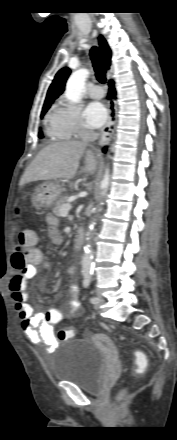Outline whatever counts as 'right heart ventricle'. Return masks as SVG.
<instances>
[{
  "label": "right heart ventricle",
  "instance_id": "right-heart-ventricle-1",
  "mask_svg": "<svg viewBox=\"0 0 177 440\" xmlns=\"http://www.w3.org/2000/svg\"><path fill=\"white\" fill-rule=\"evenodd\" d=\"M46 133L53 140H61L66 138L58 127L54 111L48 114L46 117Z\"/></svg>",
  "mask_w": 177,
  "mask_h": 440
}]
</instances>
